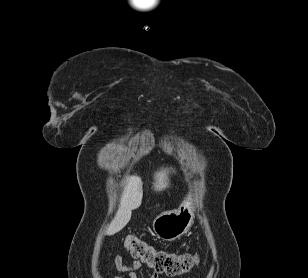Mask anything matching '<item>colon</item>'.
Returning a JSON list of instances; mask_svg holds the SVG:
<instances>
[{
    "label": "colon",
    "mask_w": 308,
    "mask_h": 278,
    "mask_svg": "<svg viewBox=\"0 0 308 278\" xmlns=\"http://www.w3.org/2000/svg\"><path fill=\"white\" fill-rule=\"evenodd\" d=\"M124 244L134 258L144 262L155 273L180 275L187 273L198 263L195 255L157 249L135 236H127Z\"/></svg>",
    "instance_id": "colon-1"
}]
</instances>
